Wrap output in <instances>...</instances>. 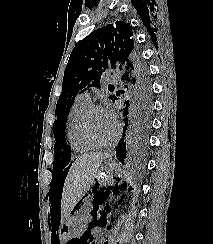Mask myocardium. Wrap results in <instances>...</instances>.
Listing matches in <instances>:
<instances>
[{
  "mask_svg": "<svg viewBox=\"0 0 213 244\" xmlns=\"http://www.w3.org/2000/svg\"><path fill=\"white\" fill-rule=\"evenodd\" d=\"M104 110V108L99 104L91 103L89 107L83 113L80 129L84 139L95 147H106L112 145L119 136V125L115 123V131L112 137L106 141L97 140L90 132L89 129V118L93 111Z\"/></svg>",
  "mask_w": 213,
  "mask_h": 244,
  "instance_id": "obj_1",
  "label": "myocardium"
}]
</instances>
